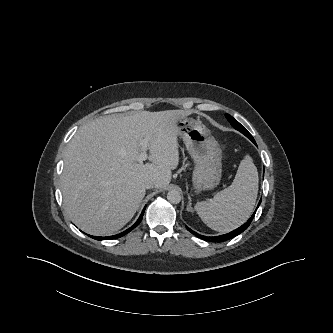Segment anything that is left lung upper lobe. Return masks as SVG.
<instances>
[{
    "mask_svg": "<svg viewBox=\"0 0 333 333\" xmlns=\"http://www.w3.org/2000/svg\"><path fill=\"white\" fill-rule=\"evenodd\" d=\"M227 120L230 122V124L237 129L238 131H240L241 133H243L246 137H248L252 142H255V140L253 139L252 135L238 122L236 121L232 116H230L229 114L225 115Z\"/></svg>",
    "mask_w": 333,
    "mask_h": 333,
    "instance_id": "obj_1",
    "label": "left lung upper lobe"
}]
</instances>
